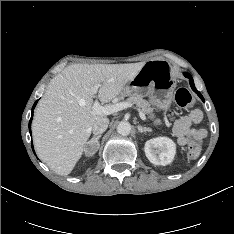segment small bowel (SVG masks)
Here are the masks:
<instances>
[{
  "label": "small bowel",
  "mask_w": 234,
  "mask_h": 234,
  "mask_svg": "<svg viewBox=\"0 0 234 234\" xmlns=\"http://www.w3.org/2000/svg\"><path fill=\"white\" fill-rule=\"evenodd\" d=\"M202 118L201 110L194 109L188 115L175 119L173 129L181 146L199 142L206 137L207 131L204 128L193 127V125L200 123Z\"/></svg>",
  "instance_id": "small-bowel-1"
}]
</instances>
